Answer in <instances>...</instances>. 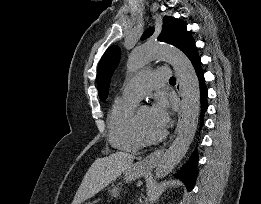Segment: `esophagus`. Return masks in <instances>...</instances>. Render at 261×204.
<instances>
[{
	"instance_id": "obj_1",
	"label": "esophagus",
	"mask_w": 261,
	"mask_h": 204,
	"mask_svg": "<svg viewBox=\"0 0 261 204\" xmlns=\"http://www.w3.org/2000/svg\"><path fill=\"white\" fill-rule=\"evenodd\" d=\"M176 90L178 92V100H179L180 106L182 108V106H183V97H182V92H181V86H180L179 83H177ZM182 120H183V112H182V109H181L180 112H179V117H178L176 131L180 128ZM164 150L165 149H157V150L153 151L152 153H150L149 155L144 157L139 162V166L141 168H143V169H152V168H154L160 162V159H161V157H162V155L164 153Z\"/></svg>"
}]
</instances>
